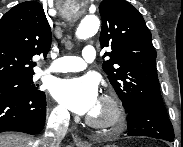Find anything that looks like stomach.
<instances>
[{
    "label": "stomach",
    "instance_id": "0dacf381",
    "mask_svg": "<svg viewBox=\"0 0 183 147\" xmlns=\"http://www.w3.org/2000/svg\"><path fill=\"white\" fill-rule=\"evenodd\" d=\"M104 147H117V146L113 144V145H106Z\"/></svg>",
    "mask_w": 183,
    "mask_h": 147
}]
</instances>
